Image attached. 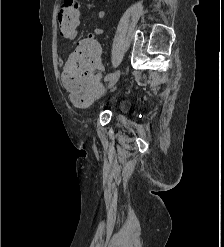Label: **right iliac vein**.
Wrapping results in <instances>:
<instances>
[{"label":"right iliac vein","instance_id":"obj_1","mask_svg":"<svg viewBox=\"0 0 224 247\" xmlns=\"http://www.w3.org/2000/svg\"><path fill=\"white\" fill-rule=\"evenodd\" d=\"M119 77H120V71L118 70L114 72L112 77L110 78L109 83H108V88L113 87L119 80Z\"/></svg>","mask_w":224,"mask_h":247}]
</instances>
